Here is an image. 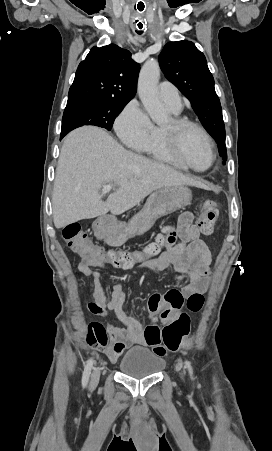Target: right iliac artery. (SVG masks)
<instances>
[{"instance_id": "right-iliac-artery-1", "label": "right iliac artery", "mask_w": 272, "mask_h": 451, "mask_svg": "<svg viewBox=\"0 0 272 451\" xmlns=\"http://www.w3.org/2000/svg\"><path fill=\"white\" fill-rule=\"evenodd\" d=\"M92 366H93V360L90 359L88 361L87 365L85 366V369H84V372H83V376H82V385H83V387H85L87 385V383H88Z\"/></svg>"}]
</instances>
